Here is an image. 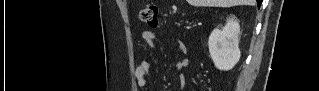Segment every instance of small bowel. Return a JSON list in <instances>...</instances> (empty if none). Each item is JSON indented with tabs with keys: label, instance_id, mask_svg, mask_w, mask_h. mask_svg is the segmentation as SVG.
I'll return each instance as SVG.
<instances>
[{
	"label": "small bowel",
	"instance_id": "small-bowel-1",
	"mask_svg": "<svg viewBox=\"0 0 319 91\" xmlns=\"http://www.w3.org/2000/svg\"><path fill=\"white\" fill-rule=\"evenodd\" d=\"M142 39L145 43V45L148 47L150 52H153L155 49L156 43H155V34L152 31L145 30L142 33ZM177 47L182 53L188 52V47L183 41H177L176 42ZM189 64L188 58L184 57L178 61L175 62V69L181 70L187 67ZM151 61L150 59H144L140 62V64L135 69V79L136 83L139 87L145 88L147 86V75L150 70ZM178 82L181 88H184L187 83V78L185 74L181 73L178 77Z\"/></svg>",
	"mask_w": 319,
	"mask_h": 91
}]
</instances>
